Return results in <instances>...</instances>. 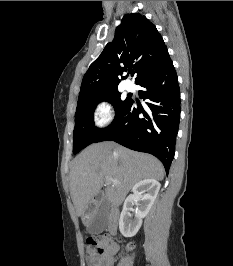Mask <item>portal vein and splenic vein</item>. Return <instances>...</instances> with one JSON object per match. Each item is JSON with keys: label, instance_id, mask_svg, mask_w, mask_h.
<instances>
[{"label": "portal vein and splenic vein", "instance_id": "18ae733b", "mask_svg": "<svg viewBox=\"0 0 233 266\" xmlns=\"http://www.w3.org/2000/svg\"><path fill=\"white\" fill-rule=\"evenodd\" d=\"M106 183L108 184V183H111L112 185H118L119 184V182L117 181V180H114V179H112V178H106Z\"/></svg>", "mask_w": 233, "mask_h": 266}]
</instances>
